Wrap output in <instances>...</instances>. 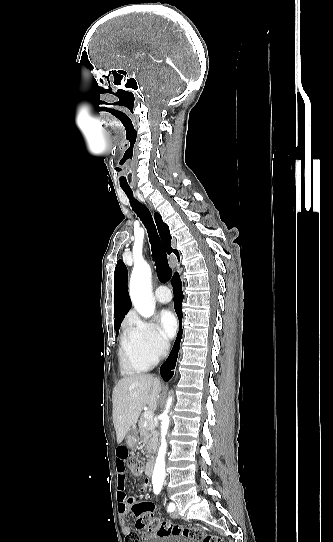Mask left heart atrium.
Masks as SVG:
<instances>
[{
	"instance_id": "39dd6f15",
	"label": "left heart atrium",
	"mask_w": 333,
	"mask_h": 542,
	"mask_svg": "<svg viewBox=\"0 0 333 542\" xmlns=\"http://www.w3.org/2000/svg\"><path fill=\"white\" fill-rule=\"evenodd\" d=\"M161 325L164 333L169 337H173L177 329V320L171 311H164L160 317Z\"/></svg>"
}]
</instances>
